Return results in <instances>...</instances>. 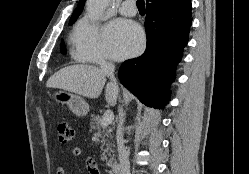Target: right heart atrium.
<instances>
[{"mask_svg": "<svg viewBox=\"0 0 249 174\" xmlns=\"http://www.w3.org/2000/svg\"><path fill=\"white\" fill-rule=\"evenodd\" d=\"M73 55L81 62L104 63L108 61L102 42L100 24L83 19L73 36Z\"/></svg>", "mask_w": 249, "mask_h": 174, "instance_id": "right-heart-atrium-1", "label": "right heart atrium"}]
</instances>
